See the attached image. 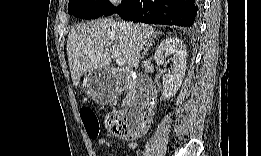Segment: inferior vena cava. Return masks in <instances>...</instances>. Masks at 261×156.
I'll list each match as a JSON object with an SVG mask.
<instances>
[{
	"mask_svg": "<svg viewBox=\"0 0 261 156\" xmlns=\"http://www.w3.org/2000/svg\"><path fill=\"white\" fill-rule=\"evenodd\" d=\"M118 24H119V25H121V26L123 25V23H122V22H118Z\"/></svg>",
	"mask_w": 261,
	"mask_h": 156,
	"instance_id": "obj_1",
	"label": "inferior vena cava"
}]
</instances>
